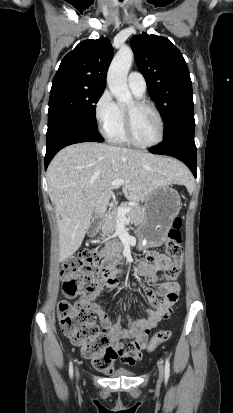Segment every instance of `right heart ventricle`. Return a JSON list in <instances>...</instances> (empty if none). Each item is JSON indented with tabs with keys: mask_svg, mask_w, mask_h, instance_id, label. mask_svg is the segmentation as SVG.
Wrapping results in <instances>:
<instances>
[{
	"mask_svg": "<svg viewBox=\"0 0 233 413\" xmlns=\"http://www.w3.org/2000/svg\"><path fill=\"white\" fill-rule=\"evenodd\" d=\"M124 109L118 107V119L113 130L107 135L108 140L111 143L117 145H128L129 141L127 140L125 134V116Z\"/></svg>",
	"mask_w": 233,
	"mask_h": 413,
	"instance_id": "right-heart-ventricle-1",
	"label": "right heart ventricle"
}]
</instances>
